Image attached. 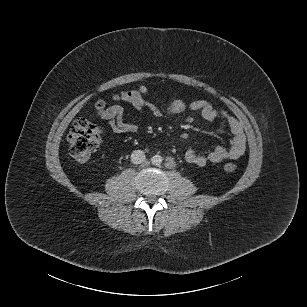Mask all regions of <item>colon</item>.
<instances>
[{"label": "colon", "instance_id": "5ec220e1", "mask_svg": "<svg viewBox=\"0 0 307 307\" xmlns=\"http://www.w3.org/2000/svg\"><path fill=\"white\" fill-rule=\"evenodd\" d=\"M106 109L103 101L96 102L94 110L100 113ZM102 129L87 119H78L71 127L67 140L70 145V154L79 163L88 162L101 146ZM224 170L232 173L236 166L232 163L224 165Z\"/></svg>", "mask_w": 307, "mask_h": 307}]
</instances>
